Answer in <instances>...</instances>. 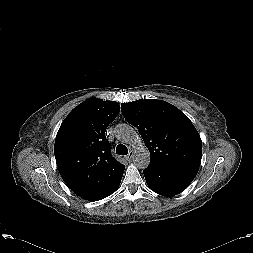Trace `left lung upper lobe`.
Returning <instances> with one entry per match:
<instances>
[{"mask_svg": "<svg viewBox=\"0 0 253 253\" xmlns=\"http://www.w3.org/2000/svg\"><path fill=\"white\" fill-rule=\"evenodd\" d=\"M150 152V161L200 166L202 141L190 119L172 104L156 99L121 104Z\"/></svg>", "mask_w": 253, "mask_h": 253, "instance_id": "5c2ea615", "label": "left lung upper lobe"}]
</instances>
